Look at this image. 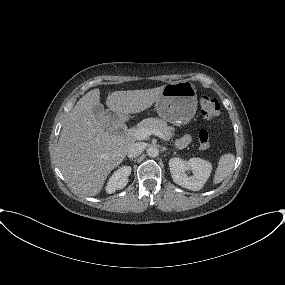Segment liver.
I'll list each match as a JSON object with an SVG mask.
<instances>
[{"label": "liver", "mask_w": 285, "mask_h": 285, "mask_svg": "<svg viewBox=\"0 0 285 285\" xmlns=\"http://www.w3.org/2000/svg\"><path fill=\"white\" fill-rule=\"evenodd\" d=\"M164 86L146 90L115 91L106 105L118 116L140 113L160 97ZM100 90L93 89L76 103L66 118L58 141L57 160L68 185L78 193L97 195L110 172L124 160L132 142L108 134L93 114Z\"/></svg>", "instance_id": "liver-1"}]
</instances>
